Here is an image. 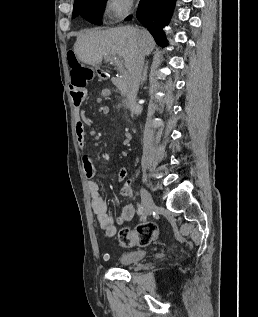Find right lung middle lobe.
<instances>
[{
  "label": "right lung middle lobe",
  "mask_w": 258,
  "mask_h": 317,
  "mask_svg": "<svg viewBox=\"0 0 258 317\" xmlns=\"http://www.w3.org/2000/svg\"><path fill=\"white\" fill-rule=\"evenodd\" d=\"M106 0H75L73 18L82 16L89 22L101 25V15L105 9Z\"/></svg>",
  "instance_id": "right-lung-middle-lobe-1"
}]
</instances>
